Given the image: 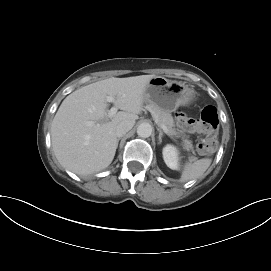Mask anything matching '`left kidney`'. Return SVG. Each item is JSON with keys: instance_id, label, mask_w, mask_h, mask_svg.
<instances>
[{"instance_id": "5707ae66", "label": "left kidney", "mask_w": 271, "mask_h": 271, "mask_svg": "<svg viewBox=\"0 0 271 271\" xmlns=\"http://www.w3.org/2000/svg\"><path fill=\"white\" fill-rule=\"evenodd\" d=\"M163 159L166 165L172 170L179 169V157H178V150L176 147L172 145H166L163 148Z\"/></svg>"}]
</instances>
